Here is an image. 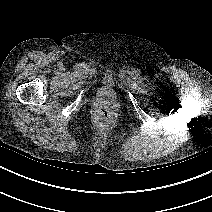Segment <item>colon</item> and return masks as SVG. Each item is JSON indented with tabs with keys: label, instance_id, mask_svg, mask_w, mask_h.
<instances>
[{
	"label": "colon",
	"instance_id": "colon-1",
	"mask_svg": "<svg viewBox=\"0 0 212 212\" xmlns=\"http://www.w3.org/2000/svg\"><path fill=\"white\" fill-rule=\"evenodd\" d=\"M98 115L102 120H108L111 117V112L106 108H100Z\"/></svg>",
	"mask_w": 212,
	"mask_h": 212
}]
</instances>
